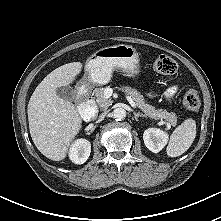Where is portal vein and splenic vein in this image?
Wrapping results in <instances>:
<instances>
[{
  "instance_id": "obj_1",
  "label": "portal vein and splenic vein",
  "mask_w": 221,
  "mask_h": 221,
  "mask_svg": "<svg viewBox=\"0 0 221 221\" xmlns=\"http://www.w3.org/2000/svg\"><path fill=\"white\" fill-rule=\"evenodd\" d=\"M113 90H114L113 88H109V87L106 88L105 91H104L105 97H106V98H110V97L112 96V94H113ZM125 98L127 99V101L130 103V105H131L133 108L136 107V105H135L133 99H132L128 94L125 95Z\"/></svg>"
}]
</instances>
